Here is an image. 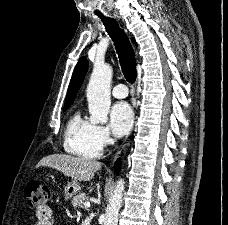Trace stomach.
<instances>
[{"label": "stomach", "mask_w": 228, "mask_h": 225, "mask_svg": "<svg viewBox=\"0 0 228 225\" xmlns=\"http://www.w3.org/2000/svg\"><path fill=\"white\" fill-rule=\"evenodd\" d=\"M80 191V183H78V181H71V183H68V185L64 187L65 201H68V199H71V197H74V195H77V193H80Z\"/></svg>", "instance_id": "1"}]
</instances>
